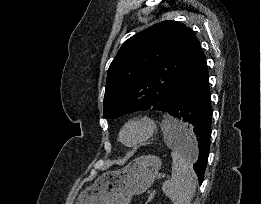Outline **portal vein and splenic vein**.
Wrapping results in <instances>:
<instances>
[{
  "instance_id": "obj_1",
  "label": "portal vein and splenic vein",
  "mask_w": 261,
  "mask_h": 204,
  "mask_svg": "<svg viewBox=\"0 0 261 204\" xmlns=\"http://www.w3.org/2000/svg\"><path fill=\"white\" fill-rule=\"evenodd\" d=\"M155 193H156L155 188H152L151 191H150V194L148 196L146 204H148L149 202H151L153 200Z\"/></svg>"
}]
</instances>
